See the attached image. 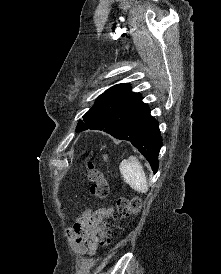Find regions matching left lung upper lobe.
I'll return each instance as SVG.
<instances>
[{
	"label": "left lung upper lobe",
	"mask_w": 221,
	"mask_h": 274,
	"mask_svg": "<svg viewBox=\"0 0 221 274\" xmlns=\"http://www.w3.org/2000/svg\"><path fill=\"white\" fill-rule=\"evenodd\" d=\"M131 87L129 84H118L101 94L96 101L95 105L83 116L82 120H79L76 131H82L86 127H89L94 122V117L92 114V109L96 106L104 105L108 102H114L120 99H136L140 94L131 92Z\"/></svg>",
	"instance_id": "left-lung-upper-lobe-1"
}]
</instances>
